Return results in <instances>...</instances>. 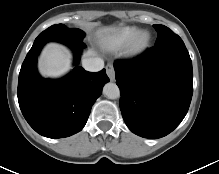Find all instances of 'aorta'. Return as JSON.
<instances>
[{
	"mask_svg": "<svg viewBox=\"0 0 219 174\" xmlns=\"http://www.w3.org/2000/svg\"><path fill=\"white\" fill-rule=\"evenodd\" d=\"M103 94L109 99H117L120 97V90L115 83L109 82L104 85Z\"/></svg>",
	"mask_w": 219,
	"mask_h": 174,
	"instance_id": "1",
	"label": "aorta"
}]
</instances>
